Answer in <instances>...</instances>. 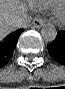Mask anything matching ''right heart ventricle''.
I'll use <instances>...</instances> for the list:
<instances>
[{
    "instance_id": "e07e8e85",
    "label": "right heart ventricle",
    "mask_w": 65,
    "mask_h": 89,
    "mask_svg": "<svg viewBox=\"0 0 65 89\" xmlns=\"http://www.w3.org/2000/svg\"><path fill=\"white\" fill-rule=\"evenodd\" d=\"M29 4L34 10L54 9L62 5L61 0H30Z\"/></svg>"
}]
</instances>
